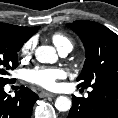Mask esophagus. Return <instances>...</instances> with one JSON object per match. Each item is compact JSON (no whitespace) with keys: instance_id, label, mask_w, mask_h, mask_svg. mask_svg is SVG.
<instances>
[{"instance_id":"esophagus-1","label":"esophagus","mask_w":118,"mask_h":118,"mask_svg":"<svg viewBox=\"0 0 118 118\" xmlns=\"http://www.w3.org/2000/svg\"><path fill=\"white\" fill-rule=\"evenodd\" d=\"M40 96H41V97H55L56 94L50 93V92H46V91H42V92L40 93Z\"/></svg>"}]
</instances>
